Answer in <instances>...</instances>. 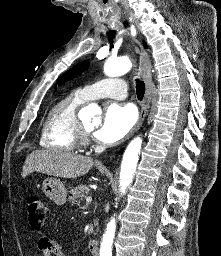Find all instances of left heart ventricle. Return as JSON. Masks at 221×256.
Masks as SVG:
<instances>
[{
  "mask_svg": "<svg viewBox=\"0 0 221 256\" xmlns=\"http://www.w3.org/2000/svg\"><path fill=\"white\" fill-rule=\"evenodd\" d=\"M85 127H86V129H88V130H91V129L93 128V126L90 125V124H85Z\"/></svg>",
  "mask_w": 221,
  "mask_h": 256,
  "instance_id": "b2bd125f",
  "label": "left heart ventricle"
}]
</instances>
